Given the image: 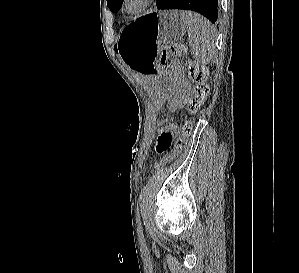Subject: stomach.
Listing matches in <instances>:
<instances>
[{
  "instance_id": "obj_1",
  "label": "stomach",
  "mask_w": 299,
  "mask_h": 273,
  "mask_svg": "<svg viewBox=\"0 0 299 273\" xmlns=\"http://www.w3.org/2000/svg\"><path fill=\"white\" fill-rule=\"evenodd\" d=\"M187 27L177 10L153 11L120 31L116 52L123 64L139 75H148L154 98H166L172 87L168 69L161 68L163 43L178 41Z\"/></svg>"
}]
</instances>
